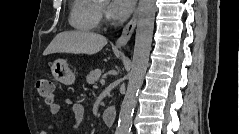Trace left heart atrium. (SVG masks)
Returning <instances> with one entry per match:
<instances>
[{
    "mask_svg": "<svg viewBox=\"0 0 239 134\" xmlns=\"http://www.w3.org/2000/svg\"><path fill=\"white\" fill-rule=\"evenodd\" d=\"M134 7V0H113L107 8L108 17L114 21L125 20Z\"/></svg>",
    "mask_w": 239,
    "mask_h": 134,
    "instance_id": "1",
    "label": "left heart atrium"
}]
</instances>
